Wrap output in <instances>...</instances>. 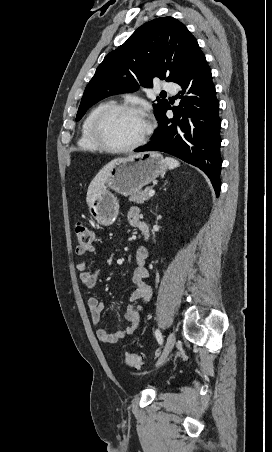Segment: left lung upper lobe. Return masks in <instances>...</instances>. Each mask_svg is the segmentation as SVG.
Listing matches in <instances>:
<instances>
[{"label": "left lung upper lobe", "mask_w": 272, "mask_h": 452, "mask_svg": "<svg viewBox=\"0 0 272 452\" xmlns=\"http://www.w3.org/2000/svg\"><path fill=\"white\" fill-rule=\"evenodd\" d=\"M197 43L184 24L173 17H160L140 26L127 41L110 52L98 66L82 97L76 121L103 98L152 87V78L173 82L191 49ZM167 100L157 98L155 116Z\"/></svg>", "instance_id": "obj_1"}]
</instances>
